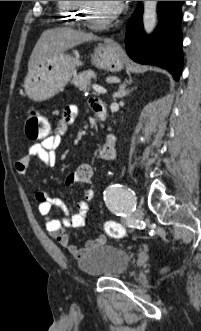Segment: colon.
I'll use <instances>...</instances> for the list:
<instances>
[{
    "label": "colon",
    "mask_w": 201,
    "mask_h": 331,
    "mask_svg": "<svg viewBox=\"0 0 201 331\" xmlns=\"http://www.w3.org/2000/svg\"><path fill=\"white\" fill-rule=\"evenodd\" d=\"M26 136L33 141L44 140L48 137L50 127L47 119L39 112L31 111L26 118L25 125ZM106 233L113 238H121L124 236V228L117 222L107 221L105 223ZM101 243H104V236L97 238Z\"/></svg>",
    "instance_id": "1"
}]
</instances>
